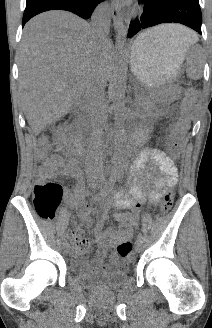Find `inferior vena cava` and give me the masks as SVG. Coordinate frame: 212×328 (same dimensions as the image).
I'll list each match as a JSON object with an SVG mask.
<instances>
[{
	"instance_id": "1",
	"label": "inferior vena cava",
	"mask_w": 212,
	"mask_h": 328,
	"mask_svg": "<svg viewBox=\"0 0 212 328\" xmlns=\"http://www.w3.org/2000/svg\"><path fill=\"white\" fill-rule=\"evenodd\" d=\"M110 25V9L108 5L98 6L91 17L93 34L105 38ZM104 100V80L98 73L93 74L87 84L83 99V115L89 127V142L86 161L90 169L91 179H98L101 174L100 159L95 149L101 143Z\"/></svg>"
}]
</instances>
